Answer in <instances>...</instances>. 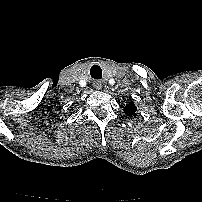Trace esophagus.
<instances>
[{
  "label": "esophagus",
  "mask_w": 202,
  "mask_h": 202,
  "mask_svg": "<svg viewBox=\"0 0 202 202\" xmlns=\"http://www.w3.org/2000/svg\"><path fill=\"white\" fill-rule=\"evenodd\" d=\"M93 86H94V88L99 90L102 87V83H101V81L96 80V81L93 82Z\"/></svg>",
  "instance_id": "34e87169"
}]
</instances>
